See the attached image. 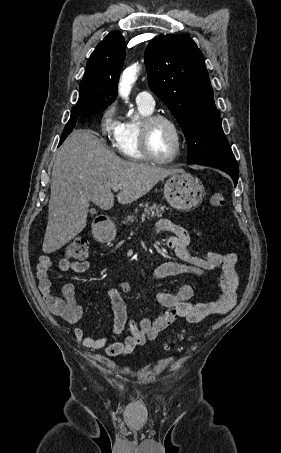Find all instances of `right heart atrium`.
<instances>
[{
	"label": "right heart atrium",
	"mask_w": 281,
	"mask_h": 453,
	"mask_svg": "<svg viewBox=\"0 0 281 453\" xmlns=\"http://www.w3.org/2000/svg\"><path fill=\"white\" fill-rule=\"evenodd\" d=\"M126 89V83L123 81V77L119 82V91L123 95ZM120 120L118 119V108L116 103H111L102 112L100 117V131L102 135L108 140H115L120 128ZM104 158H112L109 152H104L102 155Z\"/></svg>",
	"instance_id": "d8ad5b80"
}]
</instances>
